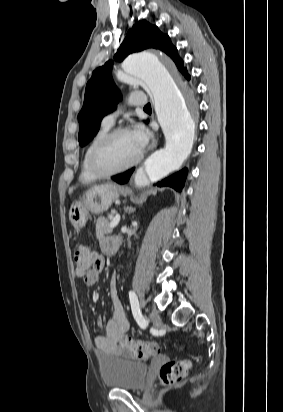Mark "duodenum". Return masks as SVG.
I'll return each instance as SVG.
<instances>
[{
  "instance_id": "410a0bca",
  "label": "duodenum",
  "mask_w": 283,
  "mask_h": 412,
  "mask_svg": "<svg viewBox=\"0 0 283 412\" xmlns=\"http://www.w3.org/2000/svg\"><path fill=\"white\" fill-rule=\"evenodd\" d=\"M119 246H120V241L117 240V241H115V242L111 245L110 251H111L112 253L117 252L118 249H119Z\"/></svg>"
}]
</instances>
